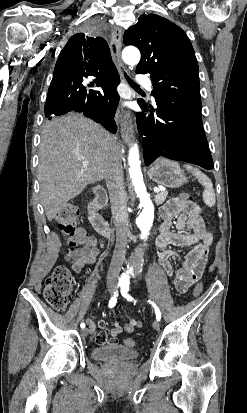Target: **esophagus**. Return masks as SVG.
Wrapping results in <instances>:
<instances>
[{"instance_id":"1","label":"esophagus","mask_w":247,"mask_h":413,"mask_svg":"<svg viewBox=\"0 0 247 413\" xmlns=\"http://www.w3.org/2000/svg\"><path fill=\"white\" fill-rule=\"evenodd\" d=\"M121 33L122 30L120 27H116L112 30V39L116 45L117 55L120 56L121 52ZM119 66H122V63L119 62ZM120 130H121V137L123 141L127 144L131 143L134 133V126L132 120L129 118V113L126 112L120 120Z\"/></svg>"}]
</instances>
